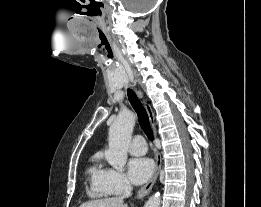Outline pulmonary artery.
I'll use <instances>...</instances> for the list:
<instances>
[{"label": "pulmonary artery", "mask_w": 261, "mask_h": 207, "mask_svg": "<svg viewBox=\"0 0 261 207\" xmlns=\"http://www.w3.org/2000/svg\"><path fill=\"white\" fill-rule=\"evenodd\" d=\"M147 151L145 139L141 135H136L130 145L129 152L133 155H144Z\"/></svg>", "instance_id": "pulmonary-artery-1"}]
</instances>
